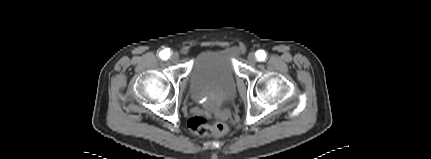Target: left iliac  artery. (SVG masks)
Masks as SVG:
<instances>
[{"mask_svg": "<svg viewBox=\"0 0 431 159\" xmlns=\"http://www.w3.org/2000/svg\"><path fill=\"white\" fill-rule=\"evenodd\" d=\"M256 57H257V59H258L259 61H263V60H265V58H266V53H265V51H263V50H258V51L256 52Z\"/></svg>", "mask_w": 431, "mask_h": 159, "instance_id": "44dca946", "label": "left iliac artery"}]
</instances>
